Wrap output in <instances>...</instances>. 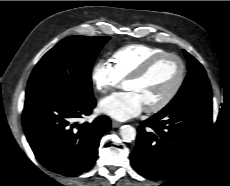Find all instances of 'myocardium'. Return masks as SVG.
<instances>
[{
    "label": "myocardium",
    "instance_id": "1",
    "mask_svg": "<svg viewBox=\"0 0 230 186\" xmlns=\"http://www.w3.org/2000/svg\"><path fill=\"white\" fill-rule=\"evenodd\" d=\"M166 58H172L178 62L180 66L178 79L176 80L171 90L167 93V95L162 100H160L158 103L150 107L144 108L145 112L147 113H157L163 110L177 96V94L179 93L186 79L187 67H186L185 62L180 56H178L175 53L164 52L156 56H153L152 58L147 60L137 71H135L132 75H130L126 79V82L127 81H138V80L143 79L159 62H161L162 60Z\"/></svg>",
    "mask_w": 230,
    "mask_h": 186
}]
</instances>
